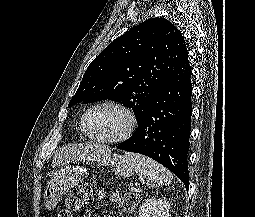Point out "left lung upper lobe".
Listing matches in <instances>:
<instances>
[{
	"label": "left lung upper lobe",
	"instance_id": "left-lung-upper-lobe-1",
	"mask_svg": "<svg viewBox=\"0 0 255 217\" xmlns=\"http://www.w3.org/2000/svg\"><path fill=\"white\" fill-rule=\"evenodd\" d=\"M187 57L181 31L170 21L146 20L90 63L68 106L113 100L132 108L139 124L160 87Z\"/></svg>",
	"mask_w": 255,
	"mask_h": 217
}]
</instances>
